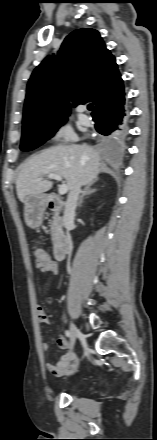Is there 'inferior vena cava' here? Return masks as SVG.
Here are the masks:
<instances>
[{"mask_svg": "<svg viewBox=\"0 0 157 440\" xmlns=\"http://www.w3.org/2000/svg\"><path fill=\"white\" fill-rule=\"evenodd\" d=\"M80 192V184H76L68 194L63 215V225L66 229L70 228L71 225H73L75 210Z\"/></svg>", "mask_w": 157, "mask_h": 440, "instance_id": "602c4592", "label": "inferior vena cava"}]
</instances>
